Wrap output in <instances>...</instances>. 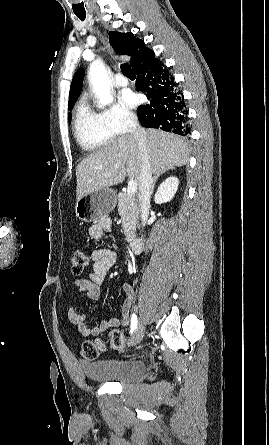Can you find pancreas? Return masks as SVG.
Listing matches in <instances>:
<instances>
[{
	"mask_svg": "<svg viewBox=\"0 0 269 445\" xmlns=\"http://www.w3.org/2000/svg\"><path fill=\"white\" fill-rule=\"evenodd\" d=\"M118 213L127 241L135 238L136 225L139 218V206L134 196L121 192L118 195Z\"/></svg>",
	"mask_w": 269,
	"mask_h": 445,
	"instance_id": "cf45deb5",
	"label": "pancreas"
}]
</instances>
